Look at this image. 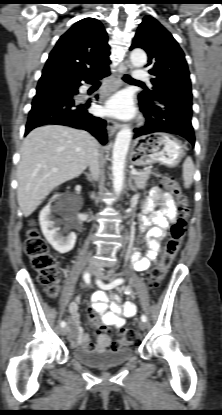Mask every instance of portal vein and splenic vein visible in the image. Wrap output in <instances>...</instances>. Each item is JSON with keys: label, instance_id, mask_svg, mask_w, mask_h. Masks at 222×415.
I'll return each instance as SVG.
<instances>
[{"label": "portal vein and splenic vein", "instance_id": "obj_1", "mask_svg": "<svg viewBox=\"0 0 222 415\" xmlns=\"http://www.w3.org/2000/svg\"><path fill=\"white\" fill-rule=\"evenodd\" d=\"M131 174H133V175H137V174H139L135 169H133L132 171H131Z\"/></svg>", "mask_w": 222, "mask_h": 415}]
</instances>
